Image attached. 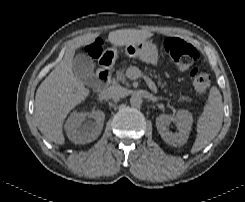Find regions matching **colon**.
<instances>
[{"label": "colon", "instance_id": "1", "mask_svg": "<svg viewBox=\"0 0 245 202\" xmlns=\"http://www.w3.org/2000/svg\"><path fill=\"white\" fill-rule=\"evenodd\" d=\"M163 49L178 71L185 72L194 67L191 71V78L196 94L202 95L209 89L211 74L195 67L200 57V52L196 47L184 40L167 37L163 41ZM80 52L90 59H96L99 53L98 45L96 43L82 45Z\"/></svg>", "mask_w": 245, "mask_h": 202}]
</instances>
